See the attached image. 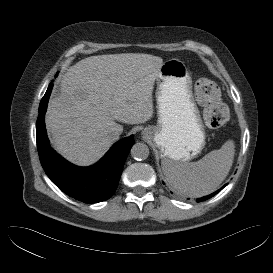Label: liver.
I'll list each match as a JSON object with an SVG mask.
<instances>
[{"instance_id":"liver-1","label":"liver","mask_w":273,"mask_h":273,"mask_svg":"<svg viewBox=\"0 0 273 273\" xmlns=\"http://www.w3.org/2000/svg\"><path fill=\"white\" fill-rule=\"evenodd\" d=\"M163 59L143 53L91 56L71 66L50 100L46 121L55 148L79 166L97 162L123 131L153 116L152 92Z\"/></svg>"}]
</instances>
